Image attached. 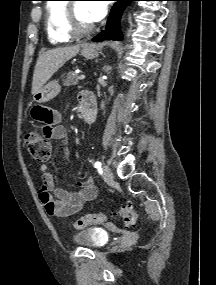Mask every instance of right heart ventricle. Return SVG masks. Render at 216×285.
I'll list each match as a JSON object with an SVG mask.
<instances>
[{
	"label": "right heart ventricle",
	"instance_id": "obj_1",
	"mask_svg": "<svg viewBox=\"0 0 216 285\" xmlns=\"http://www.w3.org/2000/svg\"><path fill=\"white\" fill-rule=\"evenodd\" d=\"M66 6L62 0H51L45 6V30L53 45L65 44L72 38L65 26Z\"/></svg>",
	"mask_w": 216,
	"mask_h": 285
}]
</instances>
